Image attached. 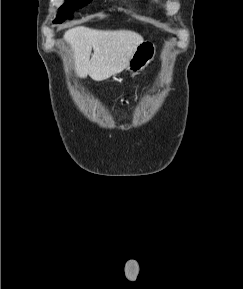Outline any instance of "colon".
Here are the masks:
<instances>
[{"mask_svg": "<svg viewBox=\"0 0 243 289\" xmlns=\"http://www.w3.org/2000/svg\"><path fill=\"white\" fill-rule=\"evenodd\" d=\"M128 102V100L127 99H125L124 101H123V103L125 104V103H127Z\"/></svg>", "mask_w": 243, "mask_h": 289, "instance_id": "obj_1", "label": "colon"}]
</instances>
